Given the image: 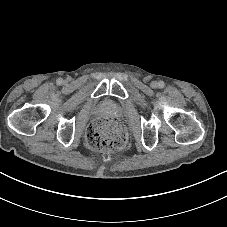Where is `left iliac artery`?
<instances>
[{"instance_id":"44dca946","label":"left iliac artery","mask_w":227,"mask_h":227,"mask_svg":"<svg viewBox=\"0 0 227 227\" xmlns=\"http://www.w3.org/2000/svg\"><path fill=\"white\" fill-rule=\"evenodd\" d=\"M164 85H165V84H164V82H163V81H159V82H158V87H159V88H163V87H164Z\"/></svg>"}]
</instances>
